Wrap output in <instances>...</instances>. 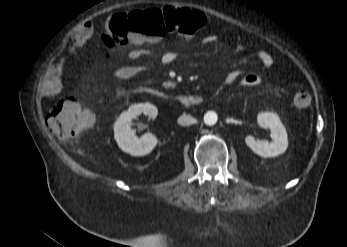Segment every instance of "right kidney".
<instances>
[{"label": "right kidney", "instance_id": "ca27d5eb", "mask_svg": "<svg viewBox=\"0 0 347 247\" xmlns=\"http://www.w3.org/2000/svg\"><path fill=\"white\" fill-rule=\"evenodd\" d=\"M142 113L155 118L158 110L150 103L132 105L117 118L114 124V138L119 148L132 156L147 155L157 144V138L153 134L146 133L138 138L131 129L132 120Z\"/></svg>", "mask_w": 347, "mask_h": 247}]
</instances>
